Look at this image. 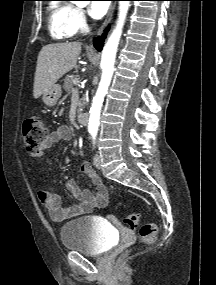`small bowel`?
I'll list each match as a JSON object with an SVG mask.
<instances>
[{
    "mask_svg": "<svg viewBox=\"0 0 216 285\" xmlns=\"http://www.w3.org/2000/svg\"><path fill=\"white\" fill-rule=\"evenodd\" d=\"M71 137V129L66 125H61L50 133L44 145V149H49L60 141L70 140ZM81 171L94 183L95 191L92 192L88 189H81L74 180L68 181L67 190L78 200L74 205L62 207L60 197L57 194L44 190L38 192V198L48 211L52 220L56 222L68 220L88 214L92 212L94 208L107 205V189L101 183L92 166L88 162H84L81 165Z\"/></svg>",
    "mask_w": 216,
    "mask_h": 285,
    "instance_id": "obj_1",
    "label": "small bowel"
}]
</instances>
